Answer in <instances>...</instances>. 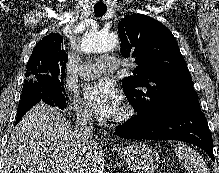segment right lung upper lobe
<instances>
[{
	"instance_id": "obj_1",
	"label": "right lung upper lobe",
	"mask_w": 219,
	"mask_h": 173,
	"mask_svg": "<svg viewBox=\"0 0 219 173\" xmlns=\"http://www.w3.org/2000/svg\"><path fill=\"white\" fill-rule=\"evenodd\" d=\"M62 47L63 37L60 34L50 33L36 44L29 62L58 64L65 69L68 56Z\"/></svg>"
}]
</instances>
